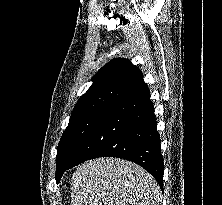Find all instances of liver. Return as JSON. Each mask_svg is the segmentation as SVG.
Instances as JSON below:
<instances>
[{"instance_id": "1", "label": "liver", "mask_w": 222, "mask_h": 205, "mask_svg": "<svg viewBox=\"0 0 222 205\" xmlns=\"http://www.w3.org/2000/svg\"><path fill=\"white\" fill-rule=\"evenodd\" d=\"M160 188L142 167L116 158L81 164L72 176L71 205H160Z\"/></svg>"}]
</instances>
